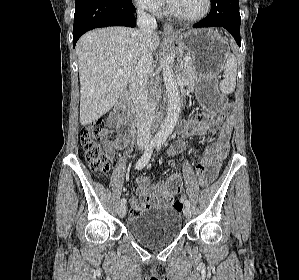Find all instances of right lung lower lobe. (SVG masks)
I'll return each instance as SVG.
<instances>
[{
	"label": "right lung lower lobe",
	"mask_w": 299,
	"mask_h": 280,
	"mask_svg": "<svg viewBox=\"0 0 299 280\" xmlns=\"http://www.w3.org/2000/svg\"><path fill=\"white\" fill-rule=\"evenodd\" d=\"M107 26H136L132 0H75L74 47L85 32Z\"/></svg>",
	"instance_id": "98d812e1"
}]
</instances>
